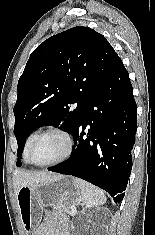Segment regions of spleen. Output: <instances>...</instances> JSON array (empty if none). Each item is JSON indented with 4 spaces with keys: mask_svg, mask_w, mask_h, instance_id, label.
I'll use <instances>...</instances> for the list:
<instances>
[{
    "mask_svg": "<svg viewBox=\"0 0 155 235\" xmlns=\"http://www.w3.org/2000/svg\"><path fill=\"white\" fill-rule=\"evenodd\" d=\"M74 180L80 189L82 201L86 207H97L106 202V197L102 190L79 178Z\"/></svg>",
    "mask_w": 155,
    "mask_h": 235,
    "instance_id": "spleen-1",
    "label": "spleen"
}]
</instances>
